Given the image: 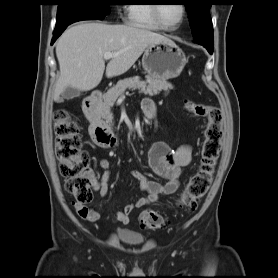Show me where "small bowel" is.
Instances as JSON below:
<instances>
[{
	"instance_id": "c3829d8e",
	"label": "small bowel",
	"mask_w": 278,
	"mask_h": 278,
	"mask_svg": "<svg viewBox=\"0 0 278 278\" xmlns=\"http://www.w3.org/2000/svg\"><path fill=\"white\" fill-rule=\"evenodd\" d=\"M143 110L148 118L156 115V106L152 100L146 99L143 102ZM192 159V151L189 145H182L173 150L163 142L154 143L148 152V162L151 169L163 177L166 182L159 183L149 180L145 174L139 170H133L132 176L139 182L140 189L147 193L145 197L139 198L134 203L127 204L122 210L115 214V221L122 224L130 222V214L136 208H142L158 200L161 195H171L175 193L180 186L182 170ZM103 170L100 180H95L93 189L102 197L109 194V179L111 175L110 162L103 158L99 162ZM77 213L84 219L94 222L100 217V214L86 205L73 203Z\"/></svg>"
}]
</instances>
